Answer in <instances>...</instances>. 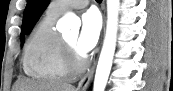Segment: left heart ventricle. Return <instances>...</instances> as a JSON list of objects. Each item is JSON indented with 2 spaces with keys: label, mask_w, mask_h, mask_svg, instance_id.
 <instances>
[{
  "label": "left heart ventricle",
  "mask_w": 173,
  "mask_h": 91,
  "mask_svg": "<svg viewBox=\"0 0 173 91\" xmlns=\"http://www.w3.org/2000/svg\"><path fill=\"white\" fill-rule=\"evenodd\" d=\"M76 38L77 35H70L68 37L65 38V40L76 49Z\"/></svg>",
  "instance_id": "left-heart-ventricle-1"
}]
</instances>
